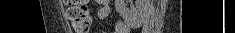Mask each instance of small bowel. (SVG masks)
<instances>
[{"instance_id":"small-bowel-1","label":"small bowel","mask_w":235,"mask_h":33,"mask_svg":"<svg viewBox=\"0 0 235 33\" xmlns=\"http://www.w3.org/2000/svg\"><path fill=\"white\" fill-rule=\"evenodd\" d=\"M100 7L97 11V15L100 19H106L111 13L110 2L108 0L99 1ZM129 27L121 20H118L114 26L113 33H129Z\"/></svg>"}]
</instances>
